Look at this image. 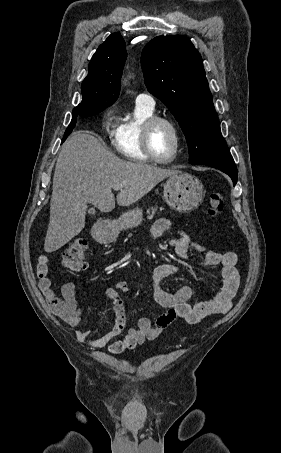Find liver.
I'll use <instances>...</instances> for the list:
<instances>
[{"mask_svg":"<svg viewBox=\"0 0 281 453\" xmlns=\"http://www.w3.org/2000/svg\"><path fill=\"white\" fill-rule=\"evenodd\" d=\"M181 170L146 162H129L105 148L89 130H76L62 144L57 158L44 251H58L85 227L88 202L101 212L130 206L158 182ZM114 184H122L115 196Z\"/></svg>","mask_w":281,"mask_h":453,"instance_id":"6515ba94","label":"liver"}]
</instances>
